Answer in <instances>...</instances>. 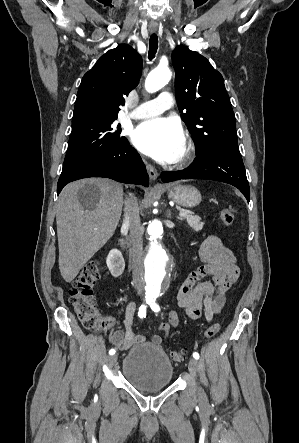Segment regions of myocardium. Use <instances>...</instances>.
<instances>
[{
    "label": "myocardium",
    "mask_w": 299,
    "mask_h": 443,
    "mask_svg": "<svg viewBox=\"0 0 299 443\" xmlns=\"http://www.w3.org/2000/svg\"><path fill=\"white\" fill-rule=\"evenodd\" d=\"M194 151H195V147H194L193 141L190 138H186L185 144H184V151L181 154V156L179 157V159L177 161H175L174 166L183 167L186 164H188L193 157Z\"/></svg>",
    "instance_id": "f54148a6"
}]
</instances>
